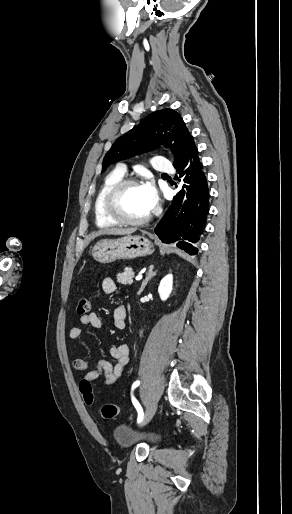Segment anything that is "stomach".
I'll list each match as a JSON object with an SVG mask.
<instances>
[{
	"mask_svg": "<svg viewBox=\"0 0 292 514\" xmlns=\"http://www.w3.org/2000/svg\"><path fill=\"white\" fill-rule=\"evenodd\" d=\"M153 244L143 236H124L117 240H100L92 250V256L100 264H111L116 260H134L153 254Z\"/></svg>",
	"mask_w": 292,
	"mask_h": 514,
	"instance_id": "1",
	"label": "stomach"
}]
</instances>
